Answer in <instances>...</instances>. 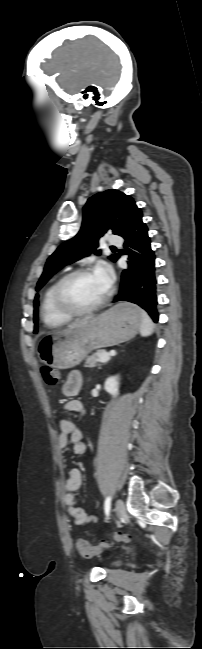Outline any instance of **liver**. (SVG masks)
<instances>
[{
  "label": "liver",
  "mask_w": 202,
  "mask_h": 649,
  "mask_svg": "<svg viewBox=\"0 0 202 649\" xmlns=\"http://www.w3.org/2000/svg\"><path fill=\"white\" fill-rule=\"evenodd\" d=\"M88 320H89V318L77 319V320L74 321L73 323L69 324V325H68V328H75V327H78V326H80V325L86 323Z\"/></svg>",
  "instance_id": "1"
}]
</instances>
